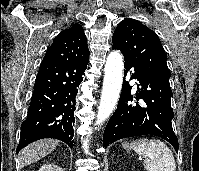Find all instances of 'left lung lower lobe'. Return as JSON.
I'll use <instances>...</instances> for the list:
<instances>
[{
  "mask_svg": "<svg viewBox=\"0 0 199 171\" xmlns=\"http://www.w3.org/2000/svg\"><path fill=\"white\" fill-rule=\"evenodd\" d=\"M131 68L133 73L130 79L138 80L135 97L141 103L137 101L136 104H130L129 101L133 100L132 86L123 80L117 109L104 131V147L122 138L155 135L167 140L178 151V139L172 128L174 112L171 108L170 85L139 69L127 59L124 79Z\"/></svg>",
  "mask_w": 199,
  "mask_h": 171,
  "instance_id": "0a47b994",
  "label": "left lung lower lobe"
}]
</instances>
